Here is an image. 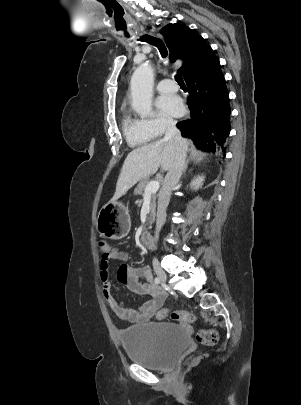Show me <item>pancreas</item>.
Instances as JSON below:
<instances>
[{"label": "pancreas", "mask_w": 301, "mask_h": 405, "mask_svg": "<svg viewBox=\"0 0 301 405\" xmlns=\"http://www.w3.org/2000/svg\"><path fill=\"white\" fill-rule=\"evenodd\" d=\"M149 181L148 180H143L142 182H140L137 185V188L135 189L134 193L135 195H144L145 192V188L147 187ZM156 194L153 193L151 195V204H150V215L147 218V223L144 226L143 230L146 231L147 229L151 228V225L153 224L154 220H155V210H156Z\"/></svg>", "instance_id": "cf45deb5"}]
</instances>
